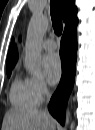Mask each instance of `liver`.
<instances>
[{
	"label": "liver",
	"mask_w": 95,
	"mask_h": 130,
	"mask_svg": "<svg viewBox=\"0 0 95 130\" xmlns=\"http://www.w3.org/2000/svg\"><path fill=\"white\" fill-rule=\"evenodd\" d=\"M2 128V130H56V121L38 109L12 108L4 116Z\"/></svg>",
	"instance_id": "liver-1"
}]
</instances>
